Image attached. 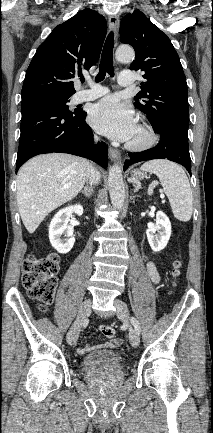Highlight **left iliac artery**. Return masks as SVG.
<instances>
[{
	"label": "left iliac artery",
	"mask_w": 213,
	"mask_h": 433,
	"mask_svg": "<svg viewBox=\"0 0 213 433\" xmlns=\"http://www.w3.org/2000/svg\"><path fill=\"white\" fill-rule=\"evenodd\" d=\"M130 321H131L132 325H133L134 328H135V332L139 335L140 332H141V328H140L139 322H138L137 319L134 318V317H131V318H130Z\"/></svg>",
	"instance_id": "left-iliac-artery-1"
}]
</instances>
